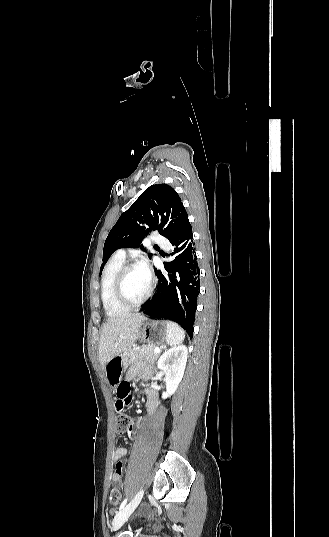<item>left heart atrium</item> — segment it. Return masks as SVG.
Wrapping results in <instances>:
<instances>
[{"instance_id": "1", "label": "left heart atrium", "mask_w": 329, "mask_h": 537, "mask_svg": "<svg viewBox=\"0 0 329 537\" xmlns=\"http://www.w3.org/2000/svg\"><path fill=\"white\" fill-rule=\"evenodd\" d=\"M138 269L141 272V274L147 279L150 280L151 272L150 268L148 266V263L145 259H142L138 263Z\"/></svg>"}]
</instances>
